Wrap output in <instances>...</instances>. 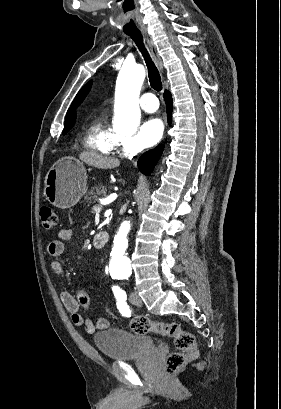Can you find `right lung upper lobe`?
<instances>
[{"mask_svg": "<svg viewBox=\"0 0 281 409\" xmlns=\"http://www.w3.org/2000/svg\"><path fill=\"white\" fill-rule=\"evenodd\" d=\"M75 122V113H72L69 109L66 118H65V125H74Z\"/></svg>", "mask_w": 281, "mask_h": 409, "instance_id": "obj_1", "label": "right lung upper lobe"}]
</instances>
